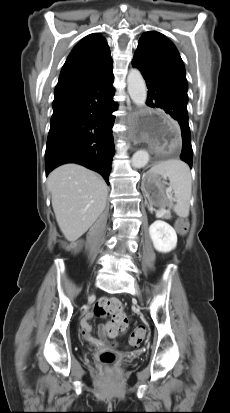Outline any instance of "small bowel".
<instances>
[{
    "label": "small bowel",
    "instance_id": "obj_1",
    "mask_svg": "<svg viewBox=\"0 0 230 413\" xmlns=\"http://www.w3.org/2000/svg\"><path fill=\"white\" fill-rule=\"evenodd\" d=\"M93 314L89 313L85 316L81 323V330L83 337L94 345H98L101 343L100 339L95 338L91 333V326L89 324L90 320L92 319ZM129 326V319L128 317L122 313L121 315L117 316L116 318H112L110 321L106 322L101 327V333L104 335L105 333L108 334L109 337H116L119 333H123L127 330Z\"/></svg>",
    "mask_w": 230,
    "mask_h": 413
}]
</instances>
